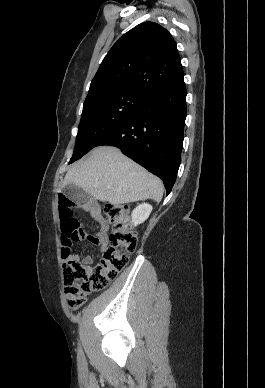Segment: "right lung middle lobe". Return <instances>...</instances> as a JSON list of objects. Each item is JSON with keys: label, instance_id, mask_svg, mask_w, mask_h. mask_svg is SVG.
<instances>
[{"label": "right lung middle lobe", "instance_id": "1", "mask_svg": "<svg viewBox=\"0 0 265 388\" xmlns=\"http://www.w3.org/2000/svg\"><path fill=\"white\" fill-rule=\"evenodd\" d=\"M144 96L124 92L102 90L87 95L78 126L72 163L93 147L107 134L130 117L139 107Z\"/></svg>", "mask_w": 265, "mask_h": 388}]
</instances>
